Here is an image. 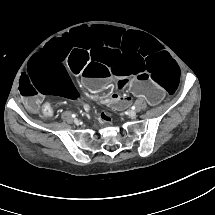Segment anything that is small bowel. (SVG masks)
Masks as SVG:
<instances>
[{"mask_svg": "<svg viewBox=\"0 0 215 215\" xmlns=\"http://www.w3.org/2000/svg\"><path fill=\"white\" fill-rule=\"evenodd\" d=\"M112 100L116 103H118L120 106H124L128 99H125L121 94L119 93H114L111 96ZM40 99L39 98H34L32 99L29 103H28V108L35 112L38 109V105H39Z\"/></svg>", "mask_w": 215, "mask_h": 215, "instance_id": "obj_1", "label": "small bowel"}]
</instances>
